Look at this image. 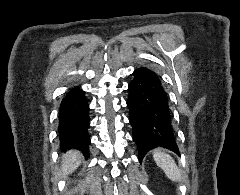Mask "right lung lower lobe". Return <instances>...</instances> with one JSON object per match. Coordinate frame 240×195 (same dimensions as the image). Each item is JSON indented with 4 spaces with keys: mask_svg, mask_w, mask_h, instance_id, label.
<instances>
[{
    "mask_svg": "<svg viewBox=\"0 0 240 195\" xmlns=\"http://www.w3.org/2000/svg\"><path fill=\"white\" fill-rule=\"evenodd\" d=\"M89 105L85 92L76 87L65 94L59 107L58 136L61 150L79 149L89 156Z\"/></svg>",
    "mask_w": 240,
    "mask_h": 195,
    "instance_id": "1",
    "label": "right lung lower lobe"
}]
</instances>
